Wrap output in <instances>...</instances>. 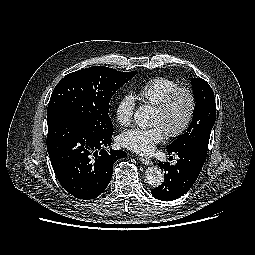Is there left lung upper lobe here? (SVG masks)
I'll return each mask as SVG.
<instances>
[{
	"label": "left lung upper lobe",
	"instance_id": "obj_1",
	"mask_svg": "<svg viewBox=\"0 0 255 255\" xmlns=\"http://www.w3.org/2000/svg\"><path fill=\"white\" fill-rule=\"evenodd\" d=\"M192 86L196 101L192 122L187 132L168 145L167 151L169 152L191 146L208 149L210 133L216 119L214 92L210 85L201 78H193Z\"/></svg>",
	"mask_w": 255,
	"mask_h": 255
}]
</instances>
